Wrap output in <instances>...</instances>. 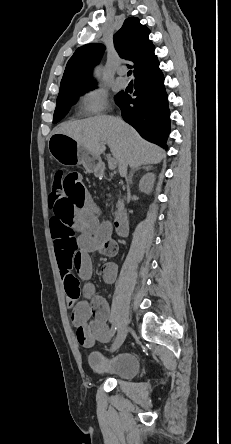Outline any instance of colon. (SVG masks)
<instances>
[{
    "label": "colon",
    "mask_w": 231,
    "mask_h": 444,
    "mask_svg": "<svg viewBox=\"0 0 231 444\" xmlns=\"http://www.w3.org/2000/svg\"><path fill=\"white\" fill-rule=\"evenodd\" d=\"M65 175L61 169H57L53 173L52 177V191L51 197L54 199L63 198L66 194V189L64 186Z\"/></svg>",
    "instance_id": "colon-1"
}]
</instances>
